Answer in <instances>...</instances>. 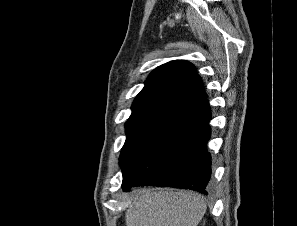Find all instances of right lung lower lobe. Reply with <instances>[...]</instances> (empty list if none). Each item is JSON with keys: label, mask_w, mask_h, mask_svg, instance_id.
Listing matches in <instances>:
<instances>
[{"label": "right lung lower lobe", "mask_w": 297, "mask_h": 226, "mask_svg": "<svg viewBox=\"0 0 297 226\" xmlns=\"http://www.w3.org/2000/svg\"><path fill=\"white\" fill-rule=\"evenodd\" d=\"M211 111L207 100L170 118L156 134L137 164L124 177L125 192L139 185L174 187L208 194L211 156Z\"/></svg>", "instance_id": "obj_1"}]
</instances>
